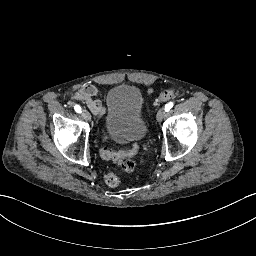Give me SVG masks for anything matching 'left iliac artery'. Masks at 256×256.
Segmentation results:
<instances>
[{
  "instance_id": "44dca946",
  "label": "left iliac artery",
  "mask_w": 256,
  "mask_h": 256,
  "mask_svg": "<svg viewBox=\"0 0 256 256\" xmlns=\"http://www.w3.org/2000/svg\"><path fill=\"white\" fill-rule=\"evenodd\" d=\"M173 102H169L165 105V111L168 112L173 107Z\"/></svg>"
}]
</instances>
